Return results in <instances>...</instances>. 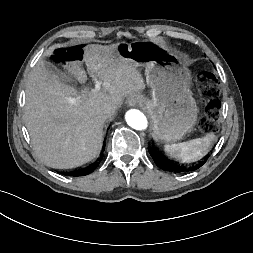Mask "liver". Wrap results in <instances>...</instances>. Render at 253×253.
<instances>
[{"mask_svg":"<svg viewBox=\"0 0 253 253\" xmlns=\"http://www.w3.org/2000/svg\"><path fill=\"white\" fill-rule=\"evenodd\" d=\"M118 44L88 45L83 60L90 74L102 82L103 89L82 90L65 84L45 68L40 59L26 86L25 123L33 149L48 167L69 169L94 160L103 143L107 116L105 104L120 107L124 97L140 93L146 87L137 66L121 57ZM54 47L46 56L53 54ZM81 61L67 65L80 84L87 76Z\"/></svg>","mask_w":253,"mask_h":253,"instance_id":"obj_1","label":"liver"}]
</instances>
